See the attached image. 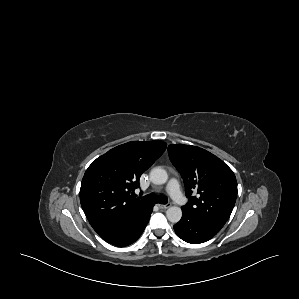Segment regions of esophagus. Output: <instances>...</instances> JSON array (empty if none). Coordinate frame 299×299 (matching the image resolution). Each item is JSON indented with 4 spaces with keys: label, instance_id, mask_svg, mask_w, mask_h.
<instances>
[{
    "label": "esophagus",
    "instance_id": "1",
    "mask_svg": "<svg viewBox=\"0 0 299 299\" xmlns=\"http://www.w3.org/2000/svg\"><path fill=\"white\" fill-rule=\"evenodd\" d=\"M161 209H167L171 206V203L170 204H159L158 205Z\"/></svg>",
    "mask_w": 299,
    "mask_h": 299
}]
</instances>
